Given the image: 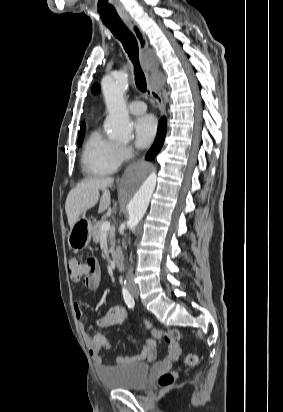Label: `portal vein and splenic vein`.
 <instances>
[{
  "label": "portal vein and splenic vein",
  "mask_w": 283,
  "mask_h": 412,
  "mask_svg": "<svg viewBox=\"0 0 283 412\" xmlns=\"http://www.w3.org/2000/svg\"><path fill=\"white\" fill-rule=\"evenodd\" d=\"M110 228H111L110 222L105 221V222L102 224V226H101V232H102V233H106V232H108V231L110 230Z\"/></svg>",
  "instance_id": "obj_1"
}]
</instances>
